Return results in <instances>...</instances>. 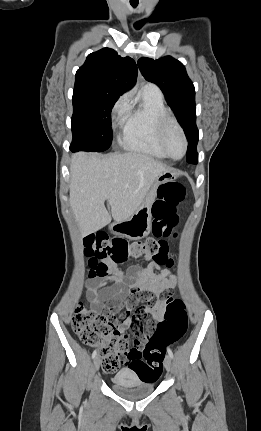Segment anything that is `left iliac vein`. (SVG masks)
Listing matches in <instances>:
<instances>
[{
    "label": "left iliac vein",
    "mask_w": 261,
    "mask_h": 431,
    "mask_svg": "<svg viewBox=\"0 0 261 431\" xmlns=\"http://www.w3.org/2000/svg\"><path fill=\"white\" fill-rule=\"evenodd\" d=\"M164 364H165V368H166V370H167L168 372H171V371H172V360H171V358H170V356H169V355H167V356L165 357Z\"/></svg>",
    "instance_id": "1"
}]
</instances>
